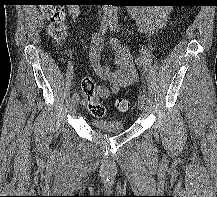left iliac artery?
I'll list each match as a JSON object with an SVG mask.
<instances>
[{
  "instance_id": "obj_1",
  "label": "left iliac artery",
  "mask_w": 217,
  "mask_h": 197,
  "mask_svg": "<svg viewBox=\"0 0 217 197\" xmlns=\"http://www.w3.org/2000/svg\"><path fill=\"white\" fill-rule=\"evenodd\" d=\"M110 26H111V30L112 31H115L116 27H117V22L115 20H113L111 23H110ZM135 62L137 64V66L143 70H148L151 66V63H150V60L147 58V57H144V56H141V57H137L135 59ZM142 92H145L146 93V87H143L141 89Z\"/></svg>"
}]
</instances>
